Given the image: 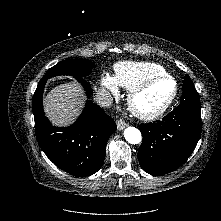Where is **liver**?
Wrapping results in <instances>:
<instances>
[{"label": "liver", "mask_w": 221, "mask_h": 221, "mask_svg": "<svg viewBox=\"0 0 221 221\" xmlns=\"http://www.w3.org/2000/svg\"><path fill=\"white\" fill-rule=\"evenodd\" d=\"M85 96L76 81L54 87L44 99V111L55 126H67L80 114Z\"/></svg>", "instance_id": "6515ba94"}]
</instances>
